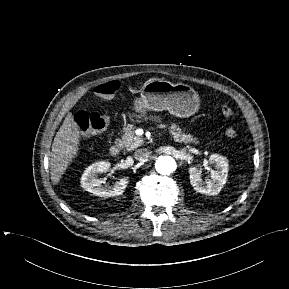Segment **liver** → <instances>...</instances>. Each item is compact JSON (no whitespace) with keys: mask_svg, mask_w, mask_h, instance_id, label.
<instances>
[{"mask_svg":"<svg viewBox=\"0 0 289 289\" xmlns=\"http://www.w3.org/2000/svg\"><path fill=\"white\" fill-rule=\"evenodd\" d=\"M80 132L77 122L68 113L52 144L49 161L51 181L57 184L79 150Z\"/></svg>","mask_w":289,"mask_h":289,"instance_id":"liver-1","label":"liver"}]
</instances>
